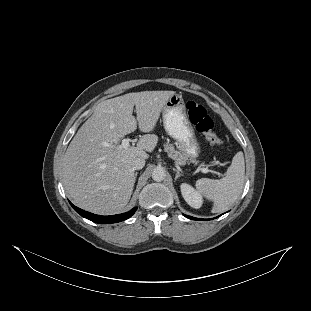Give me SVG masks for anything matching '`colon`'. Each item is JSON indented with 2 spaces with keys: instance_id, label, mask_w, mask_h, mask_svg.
Instances as JSON below:
<instances>
[{
  "instance_id": "5ec220e1",
  "label": "colon",
  "mask_w": 311,
  "mask_h": 311,
  "mask_svg": "<svg viewBox=\"0 0 311 311\" xmlns=\"http://www.w3.org/2000/svg\"><path fill=\"white\" fill-rule=\"evenodd\" d=\"M185 107L190 121L204 135L209 144L214 147L220 146L221 140L214 130V123L207 109L193 100L188 101Z\"/></svg>"
}]
</instances>
